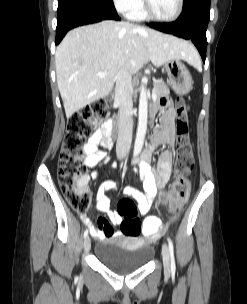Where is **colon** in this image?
<instances>
[{
	"label": "colon",
	"mask_w": 247,
	"mask_h": 304,
	"mask_svg": "<svg viewBox=\"0 0 247 304\" xmlns=\"http://www.w3.org/2000/svg\"><path fill=\"white\" fill-rule=\"evenodd\" d=\"M108 115L107 102L100 100L89 108L73 113L67 122V132L59 154L58 182L68 204L78 213L89 207L90 197L86 183V165L82 158L84 142L90 133V126L96 118ZM176 179L172 189L161 194V200L171 209L180 207L188 195L187 176L194 166L193 148L189 135L188 107L183 98L177 99L176 117ZM117 214L121 217V232L136 237L153 238L162 229L156 217H149L143 226L137 217L135 203L129 198L118 202Z\"/></svg>",
	"instance_id": "1"
}]
</instances>
